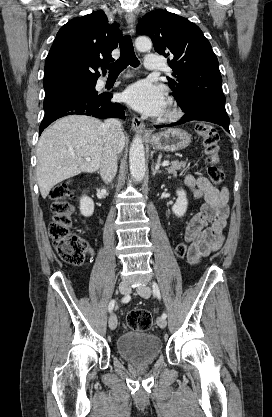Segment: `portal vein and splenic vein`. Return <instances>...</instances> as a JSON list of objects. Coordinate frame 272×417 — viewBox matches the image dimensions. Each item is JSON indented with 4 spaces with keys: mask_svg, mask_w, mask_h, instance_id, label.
Instances as JSON below:
<instances>
[{
    "mask_svg": "<svg viewBox=\"0 0 272 417\" xmlns=\"http://www.w3.org/2000/svg\"><path fill=\"white\" fill-rule=\"evenodd\" d=\"M70 155L71 156H74V153L71 151L70 152ZM86 161H90V158L89 157H86ZM169 165V161H164L163 163H162V166L163 167H166V166H168Z\"/></svg>",
    "mask_w": 272,
    "mask_h": 417,
    "instance_id": "1",
    "label": "portal vein and splenic vein"
}]
</instances>
